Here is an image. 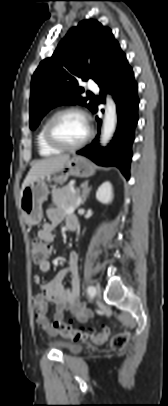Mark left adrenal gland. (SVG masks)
I'll list each match as a JSON object with an SVG mask.
<instances>
[{"instance_id":"a2214340","label":"left adrenal gland","mask_w":168,"mask_h":406,"mask_svg":"<svg viewBox=\"0 0 168 406\" xmlns=\"http://www.w3.org/2000/svg\"><path fill=\"white\" fill-rule=\"evenodd\" d=\"M91 190V187H88V182H85L82 190V196H81V205H83L86 202V199L88 197V194Z\"/></svg>"}]
</instances>
